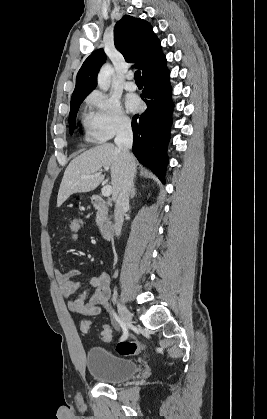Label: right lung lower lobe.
Segmentation results:
<instances>
[{"label":"right lung lower lobe","instance_id":"98d812e1","mask_svg":"<svg viewBox=\"0 0 267 419\" xmlns=\"http://www.w3.org/2000/svg\"><path fill=\"white\" fill-rule=\"evenodd\" d=\"M143 80L145 87L141 97L147 109L132 119V150L139 162L150 168L164 183L173 110L166 61L143 74Z\"/></svg>","mask_w":267,"mask_h":419}]
</instances>
